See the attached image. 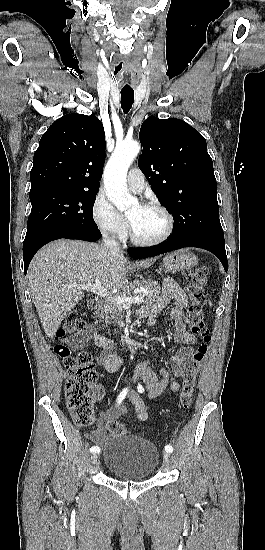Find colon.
Segmentation results:
<instances>
[{
    "mask_svg": "<svg viewBox=\"0 0 265 550\" xmlns=\"http://www.w3.org/2000/svg\"><path fill=\"white\" fill-rule=\"evenodd\" d=\"M207 279L208 270L204 266L196 268L185 278L190 297L187 321L191 331L200 339L182 377L179 402L185 409H188L193 402L197 375L211 341V332L204 321L203 303L201 301ZM85 330L86 322L80 317L78 311L72 310L66 315L62 325L56 331V339L60 340L66 335L82 333ZM54 351L62 359L68 372L65 384L67 409L77 426H90L94 422L93 405L102 396V391L96 385L98 376L93 358L84 351L75 353L69 346L62 343L56 344ZM109 432L112 436H123L126 434V427L120 422L113 421L109 424Z\"/></svg>",
    "mask_w": 265,
    "mask_h": 550,
    "instance_id": "obj_1",
    "label": "colon"
}]
</instances>
